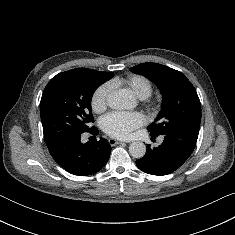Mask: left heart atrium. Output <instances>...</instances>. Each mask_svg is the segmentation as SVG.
Returning a JSON list of instances; mask_svg holds the SVG:
<instances>
[{
  "instance_id": "1",
  "label": "left heart atrium",
  "mask_w": 235,
  "mask_h": 235,
  "mask_svg": "<svg viewBox=\"0 0 235 235\" xmlns=\"http://www.w3.org/2000/svg\"><path fill=\"white\" fill-rule=\"evenodd\" d=\"M144 122L145 117L139 112H111L102 118L101 127L112 137L126 139Z\"/></svg>"
}]
</instances>
